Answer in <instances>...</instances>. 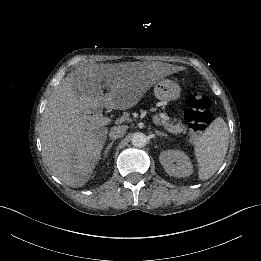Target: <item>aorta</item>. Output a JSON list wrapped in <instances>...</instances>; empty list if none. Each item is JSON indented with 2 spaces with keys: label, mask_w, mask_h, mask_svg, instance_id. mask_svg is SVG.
Here are the masks:
<instances>
[{
  "label": "aorta",
  "mask_w": 261,
  "mask_h": 261,
  "mask_svg": "<svg viewBox=\"0 0 261 261\" xmlns=\"http://www.w3.org/2000/svg\"><path fill=\"white\" fill-rule=\"evenodd\" d=\"M131 143L134 147L142 148L145 147L148 143V138L143 133H135L131 139Z\"/></svg>",
  "instance_id": "762f6f07"
}]
</instances>
